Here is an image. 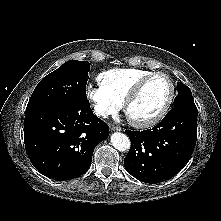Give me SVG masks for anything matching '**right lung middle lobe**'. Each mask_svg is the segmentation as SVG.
Listing matches in <instances>:
<instances>
[{
	"mask_svg": "<svg viewBox=\"0 0 221 221\" xmlns=\"http://www.w3.org/2000/svg\"><path fill=\"white\" fill-rule=\"evenodd\" d=\"M89 70L87 61L65 62L38 83L26 111L48 107L77 110L88 105L85 88Z\"/></svg>",
	"mask_w": 221,
	"mask_h": 221,
	"instance_id": "dd1d6c3e",
	"label": "right lung middle lobe"
}]
</instances>
